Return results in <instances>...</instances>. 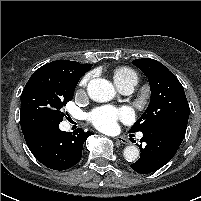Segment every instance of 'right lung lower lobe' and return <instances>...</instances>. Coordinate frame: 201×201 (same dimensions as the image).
<instances>
[{"label": "right lung lower lobe", "mask_w": 201, "mask_h": 201, "mask_svg": "<svg viewBox=\"0 0 201 201\" xmlns=\"http://www.w3.org/2000/svg\"><path fill=\"white\" fill-rule=\"evenodd\" d=\"M23 134L35 158L54 170H66L76 165L82 157L84 141L92 135L81 128L73 133L64 132L55 124L36 127Z\"/></svg>", "instance_id": "obj_1"}]
</instances>
